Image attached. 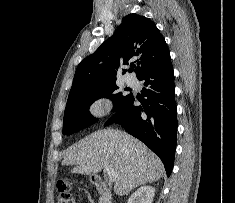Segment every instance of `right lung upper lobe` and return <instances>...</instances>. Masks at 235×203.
Segmentation results:
<instances>
[{
	"label": "right lung upper lobe",
	"instance_id": "obj_1",
	"mask_svg": "<svg viewBox=\"0 0 235 203\" xmlns=\"http://www.w3.org/2000/svg\"><path fill=\"white\" fill-rule=\"evenodd\" d=\"M131 59L138 62L137 78L170 60L165 39L154 22L137 14L127 15L114 34L79 63L70 93L116 80L120 64H127ZM126 71L124 69L123 73Z\"/></svg>",
	"mask_w": 235,
	"mask_h": 203
}]
</instances>
